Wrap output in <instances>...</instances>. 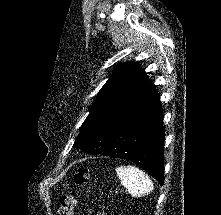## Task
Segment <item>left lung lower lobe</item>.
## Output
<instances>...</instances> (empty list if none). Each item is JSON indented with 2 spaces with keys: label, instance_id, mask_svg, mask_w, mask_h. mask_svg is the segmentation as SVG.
<instances>
[{
  "label": "left lung lower lobe",
  "instance_id": "obj_1",
  "mask_svg": "<svg viewBox=\"0 0 221 215\" xmlns=\"http://www.w3.org/2000/svg\"><path fill=\"white\" fill-rule=\"evenodd\" d=\"M160 97L154 85L124 115L112 131L103 156L128 159L164 183L165 131Z\"/></svg>",
  "mask_w": 221,
  "mask_h": 215
}]
</instances>
